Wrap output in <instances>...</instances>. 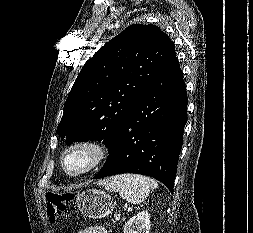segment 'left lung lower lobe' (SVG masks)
I'll use <instances>...</instances> for the list:
<instances>
[{
    "label": "left lung lower lobe",
    "instance_id": "obj_1",
    "mask_svg": "<svg viewBox=\"0 0 253 233\" xmlns=\"http://www.w3.org/2000/svg\"><path fill=\"white\" fill-rule=\"evenodd\" d=\"M187 102L175 55L123 122L105 165L94 179L137 173L161 181L173 193Z\"/></svg>",
    "mask_w": 253,
    "mask_h": 233
}]
</instances>
